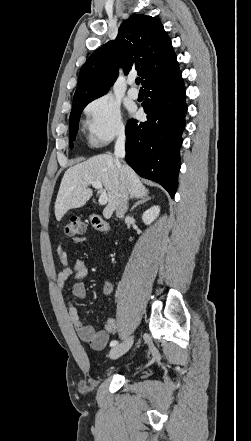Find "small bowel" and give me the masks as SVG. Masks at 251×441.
Listing matches in <instances>:
<instances>
[{
  "label": "small bowel",
  "mask_w": 251,
  "mask_h": 441,
  "mask_svg": "<svg viewBox=\"0 0 251 441\" xmlns=\"http://www.w3.org/2000/svg\"><path fill=\"white\" fill-rule=\"evenodd\" d=\"M74 243H83L85 238L76 237ZM58 258L63 266V269L59 271L56 277V283L58 289L63 292L67 284L71 279L75 282L72 285V294L79 299H84L87 294L86 286L83 279L89 274L90 266L83 259H78L73 265H70V259L67 251L63 247L58 248ZM114 286L111 282L107 281L103 286V293L106 296L112 294ZM67 312L70 322L75 328L79 338L88 343L94 350H102L106 347L110 335H113L117 331V322L114 318H108L104 324L102 330H95L93 326L85 324L78 313L77 308L73 303L68 302Z\"/></svg>",
  "instance_id": "c3829d8e"
}]
</instances>
